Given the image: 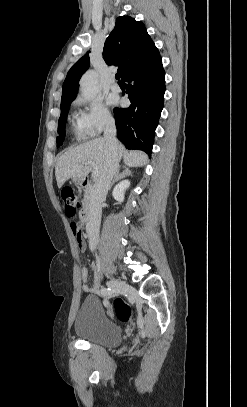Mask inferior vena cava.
Masks as SVG:
<instances>
[{
  "mask_svg": "<svg viewBox=\"0 0 247 407\" xmlns=\"http://www.w3.org/2000/svg\"><path fill=\"white\" fill-rule=\"evenodd\" d=\"M104 139L109 147V155L105 169L93 186L89 203L88 222L86 224L89 248L91 251L96 248L98 242L102 213L101 204L106 198L107 192L119 167L116 126L113 120L106 123Z\"/></svg>",
  "mask_w": 247,
  "mask_h": 407,
  "instance_id": "obj_1",
  "label": "inferior vena cava"
}]
</instances>
